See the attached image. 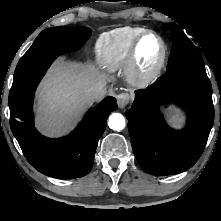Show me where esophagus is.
<instances>
[{"label":"esophagus","instance_id":"obj_1","mask_svg":"<svg viewBox=\"0 0 221 221\" xmlns=\"http://www.w3.org/2000/svg\"><path fill=\"white\" fill-rule=\"evenodd\" d=\"M116 98L117 104L121 109H124L129 104L130 97L128 93L122 92L118 94Z\"/></svg>","mask_w":221,"mask_h":221}]
</instances>
